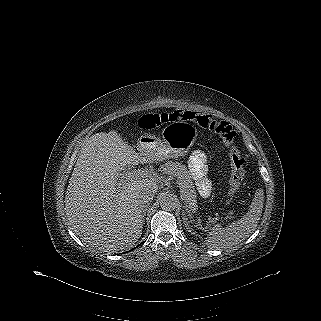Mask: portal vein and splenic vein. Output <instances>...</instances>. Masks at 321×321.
<instances>
[{
  "instance_id": "1",
  "label": "portal vein and splenic vein",
  "mask_w": 321,
  "mask_h": 321,
  "mask_svg": "<svg viewBox=\"0 0 321 321\" xmlns=\"http://www.w3.org/2000/svg\"><path fill=\"white\" fill-rule=\"evenodd\" d=\"M132 176H146V177H151L152 176V172L147 171V170H142V171H135L130 173Z\"/></svg>"
}]
</instances>
